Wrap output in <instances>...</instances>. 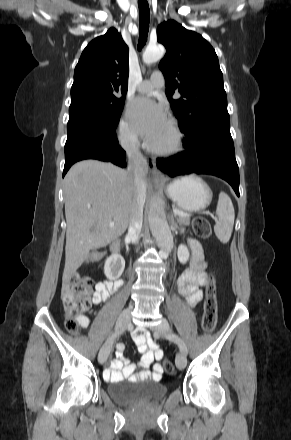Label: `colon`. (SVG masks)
<instances>
[{
  "label": "colon",
  "instance_id": "colon-1",
  "mask_svg": "<svg viewBox=\"0 0 291 440\" xmlns=\"http://www.w3.org/2000/svg\"><path fill=\"white\" fill-rule=\"evenodd\" d=\"M193 232L202 239L211 236V227L208 220L198 216L193 221ZM94 288V282L87 276H75L72 280L62 287L61 300L63 311L66 316L65 326L71 332L76 334L80 323L78 318L84 316L91 308V293ZM217 320V303L214 286L208 288L207 298L204 304V313L202 318V329L204 332H211ZM164 369L167 373H175V366L169 359L163 361Z\"/></svg>",
  "mask_w": 291,
  "mask_h": 440
}]
</instances>
